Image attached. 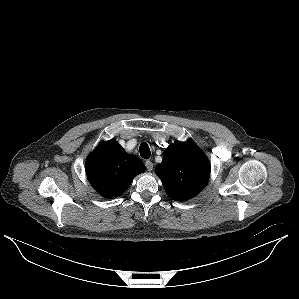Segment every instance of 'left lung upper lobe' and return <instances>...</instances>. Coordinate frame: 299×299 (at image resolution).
Masks as SVG:
<instances>
[{"mask_svg":"<svg viewBox=\"0 0 299 299\" xmlns=\"http://www.w3.org/2000/svg\"><path fill=\"white\" fill-rule=\"evenodd\" d=\"M166 193L177 201L196 196L207 184L210 163L192 140L170 145L155 168Z\"/></svg>","mask_w":299,"mask_h":299,"instance_id":"5c2ea615","label":"left lung upper lobe"}]
</instances>
